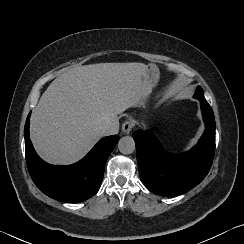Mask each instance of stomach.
I'll return each instance as SVG.
<instances>
[{
    "instance_id": "0dacf381",
    "label": "stomach",
    "mask_w": 244,
    "mask_h": 244,
    "mask_svg": "<svg viewBox=\"0 0 244 244\" xmlns=\"http://www.w3.org/2000/svg\"><path fill=\"white\" fill-rule=\"evenodd\" d=\"M159 79H160L159 68L155 64L147 65V68L142 75L145 96L151 94L153 88L157 86Z\"/></svg>"
}]
</instances>
